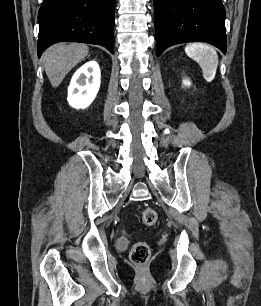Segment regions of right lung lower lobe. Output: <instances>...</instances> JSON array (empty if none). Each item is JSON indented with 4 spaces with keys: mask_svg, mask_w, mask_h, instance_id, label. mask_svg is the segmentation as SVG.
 I'll use <instances>...</instances> for the list:
<instances>
[{
    "mask_svg": "<svg viewBox=\"0 0 261 306\" xmlns=\"http://www.w3.org/2000/svg\"><path fill=\"white\" fill-rule=\"evenodd\" d=\"M115 0H43L38 13V57L61 41L97 44L113 53Z\"/></svg>",
    "mask_w": 261,
    "mask_h": 306,
    "instance_id": "98d812e1",
    "label": "right lung lower lobe"
}]
</instances>
